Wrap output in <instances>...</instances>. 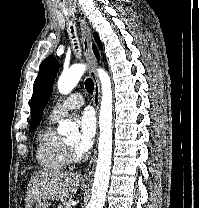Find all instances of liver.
Returning a JSON list of instances; mask_svg holds the SVG:
<instances>
[{
    "mask_svg": "<svg viewBox=\"0 0 199 208\" xmlns=\"http://www.w3.org/2000/svg\"><path fill=\"white\" fill-rule=\"evenodd\" d=\"M80 175L62 171L41 170L32 174L25 197V208L40 200L64 201L77 192Z\"/></svg>",
    "mask_w": 199,
    "mask_h": 208,
    "instance_id": "liver-1",
    "label": "liver"
}]
</instances>
